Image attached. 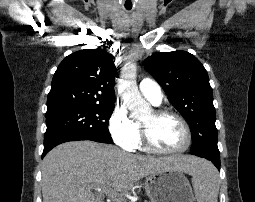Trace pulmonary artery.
Wrapping results in <instances>:
<instances>
[{"label":"pulmonary artery","mask_w":255,"mask_h":202,"mask_svg":"<svg viewBox=\"0 0 255 202\" xmlns=\"http://www.w3.org/2000/svg\"><path fill=\"white\" fill-rule=\"evenodd\" d=\"M141 94L154 105H159L163 98L162 90L159 84L150 79L144 78L139 83Z\"/></svg>","instance_id":"e3ab8cb5"}]
</instances>
